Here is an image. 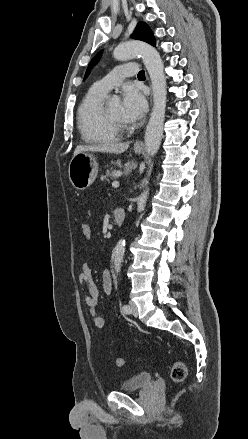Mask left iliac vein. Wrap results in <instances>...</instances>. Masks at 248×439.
<instances>
[{
  "instance_id": "4c4485c4",
  "label": "left iliac vein",
  "mask_w": 248,
  "mask_h": 439,
  "mask_svg": "<svg viewBox=\"0 0 248 439\" xmlns=\"http://www.w3.org/2000/svg\"><path fill=\"white\" fill-rule=\"evenodd\" d=\"M129 306H130V309H131L130 313L132 315H134V316H137L138 315V310H137L136 304L134 302H130Z\"/></svg>"
}]
</instances>
